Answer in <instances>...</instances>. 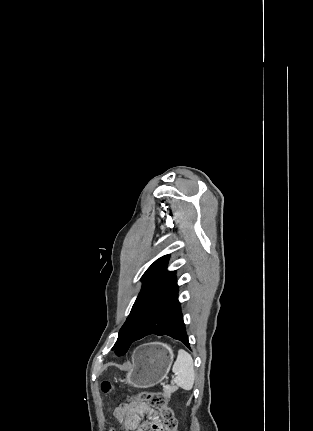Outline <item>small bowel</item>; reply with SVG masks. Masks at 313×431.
Returning a JSON list of instances; mask_svg holds the SVG:
<instances>
[{"label": "small bowel", "instance_id": "1", "mask_svg": "<svg viewBox=\"0 0 313 431\" xmlns=\"http://www.w3.org/2000/svg\"><path fill=\"white\" fill-rule=\"evenodd\" d=\"M147 421H142L143 417ZM115 417L129 431H147L149 423L153 426L158 417L149 408L140 403L122 404L115 410Z\"/></svg>", "mask_w": 313, "mask_h": 431}]
</instances>
